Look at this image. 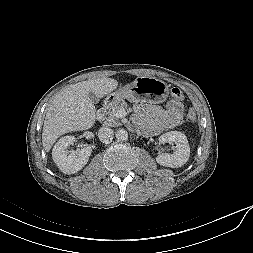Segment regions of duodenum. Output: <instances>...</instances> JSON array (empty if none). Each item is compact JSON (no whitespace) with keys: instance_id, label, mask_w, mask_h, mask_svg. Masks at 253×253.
Masks as SVG:
<instances>
[{"instance_id":"duodenum-1","label":"duodenum","mask_w":253,"mask_h":253,"mask_svg":"<svg viewBox=\"0 0 253 253\" xmlns=\"http://www.w3.org/2000/svg\"><path fill=\"white\" fill-rule=\"evenodd\" d=\"M115 100H116V97L113 96V95H111L110 97H108V98L104 101L102 108H100V109L98 110L97 115H98V116H102L104 110H105L108 106H110Z\"/></svg>"}]
</instances>
